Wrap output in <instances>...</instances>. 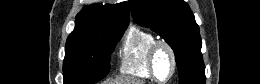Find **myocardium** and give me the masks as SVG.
Wrapping results in <instances>:
<instances>
[{
    "label": "myocardium",
    "instance_id": "f54148a6",
    "mask_svg": "<svg viewBox=\"0 0 260 84\" xmlns=\"http://www.w3.org/2000/svg\"><path fill=\"white\" fill-rule=\"evenodd\" d=\"M161 49H166L168 51L171 58V64H172L170 74L163 80L158 78L156 74V66H155V59L157 53ZM148 69L152 79L159 83L169 82L174 77L177 71V57L174 48L166 40L158 39L151 45L149 49V55H148Z\"/></svg>",
    "mask_w": 260,
    "mask_h": 84
}]
</instances>
